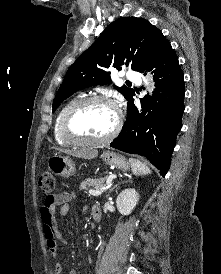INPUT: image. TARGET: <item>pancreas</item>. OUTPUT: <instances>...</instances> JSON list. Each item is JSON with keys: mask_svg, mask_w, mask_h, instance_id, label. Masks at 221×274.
<instances>
[{"mask_svg": "<svg viewBox=\"0 0 221 274\" xmlns=\"http://www.w3.org/2000/svg\"><path fill=\"white\" fill-rule=\"evenodd\" d=\"M107 181V177L100 179H86L80 185L81 190H88L90 187H101Z\"/></svg>", "mask_w": 221, "mask_h": 274, "instance_id": "pancreas-1", "label": "pancreas"}]
</instances>
